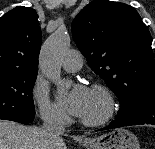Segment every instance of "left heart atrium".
Listing matches in <instances>:
<instances>
[{
    "mask_svg": "<svg viewBox=\"0 0 155 149\" xmlns=\"http://www.w3.org/2000/svg\"><path fill=\"white\" fill-rule=\"evenodd\" d=\"M88 96L89 89L87 87L76 85L62 102L71 114L80 116L84 110Z\"/></svg>",
    "mask_w": 155,
    "mask_h": 149,
    "instance_id": "39dd6f15",
    "label": "left heart atrium"
}]
</instances>
